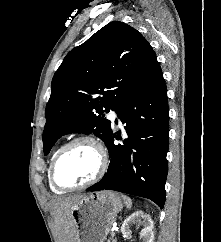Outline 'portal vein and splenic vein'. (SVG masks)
<instances>
[{
  "label": "portal vein and splenic vein",
  "mask_w": 221,
  "mask_h": 242,
  "mask_svg": "<svg viewBox=\"0 0 221 242\" xmlns=\"http://www.w3.org/2000/svg\"><path fill=\"white\" fill-rule=\"evenodd\" d=\"M115 231H116V228H113V229L111 230V232H112L111 235H112V236H115Z\"/></svg>",
  "instance_id": "1"
}]
</instances>
